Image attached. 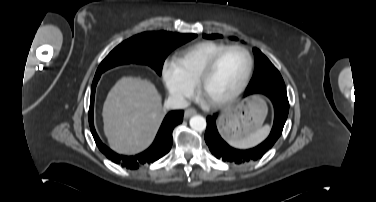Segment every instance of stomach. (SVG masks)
Here are the masks:
<instances>
[{
  "label": "stomach",
  "instance_id": "stomach-1",
  "mask_svg": "<svg viewBox=\"0 0 376 202\" xmlns=\"http://www.w3.org/2000/svg\"><path fill=\"white\" fill-rule=\"evenodd\" d=\"M266 113L267 107L261 100L232 105L220 119L221 131L230 142L246 138L261 128Z\"/></svg>",
  "mask_w": 376,
  "mask_h": 202
}]
</instances>
